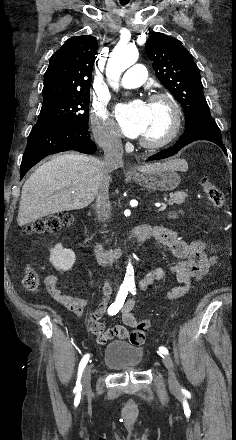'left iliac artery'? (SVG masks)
Masks as SVG:
<instances>
[{"label": "left iliac artery", "instance_id": "obj_1", "mask_svg": "<svg viewBox=\"0 0 236 440\" xmlns=\"http://www.w3.org/2000/svg\"><path fill=\"white\" fill-rule=\"evenodd\" d=\"M130 292H131L133 295L136 294V288H135V285L130 286ZM159 352L162 353V354H165V355L168 354V350H167V348H165V347H163V346L159 347Z\"/></svg>", "mask_w": 236, "mask_h": 440}]
</instances>
